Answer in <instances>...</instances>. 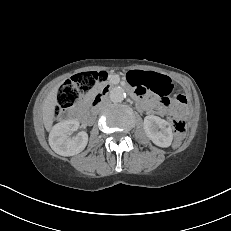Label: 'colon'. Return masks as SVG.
Instances as JSON below:
<instances>
[{
  "mask_svg": "<svg viewBox=\"0 0 231 231\" xmlns=\"http://www.w3.org/2000/svg\"><path fill=\"white\" fill-rule=\"evenodd\" d=\"M107 78L108 74L106 72L91 71L77 74L70 80L66 81L58 92L57 104L55 107L56 115H59L63 110L76 105L81 101L86 93H88L96 85L106 81ZM131 78L134 81H139L141 76L131 74ZM130 84L139 89L135 82H131ZM182 100L184 101V97H182ZM172 122L176 136L174 146L177 147L180 145L185 134L186 123L180 117H173Z\"/></svg>",
  "mask_w": 231,
  "mask_h": 231,
  "instance_id": "5ec220e1",
  "label": "colon"
}]
</instances>
